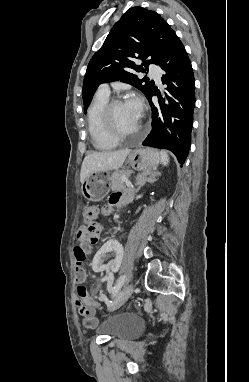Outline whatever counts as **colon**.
Listing matches in <instances>:
<instances>
[{"mask_svg":"<svg viewBox=\"0 0 249 382\" xmlns=\"http://www.w3.org/2000/svg\"><path fill=\"white\" fill-rule=\"evenodd\" d=\"M97 208L92 205H84L81 208L82 218L86 226H92V223L94 222L96 216H97ZM89 249L88 248H74V255L77 264L74 266V269L76 271V281L81 282L77 289V295L78 298L83 299L87 295L86 287L83 285V282L87 280V277L85 276L84 270L82 268V265L87 260ZM90 311V308L88 311H83L84 313H88Z\"/></svg>","mask_w":249,"mask_h":382,"instance_id":"1","label":"colon"}]
</instances>
